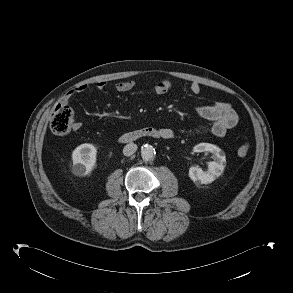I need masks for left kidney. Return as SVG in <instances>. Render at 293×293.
Masks as SVG:
<instances>
[{"instance_id":"5707ae66","label":"left kidney","mask_w":293,"mask_h":293,"mask_svg":"<svg viewBox=\"0 0 293 293\" xmlns=\"http://www.w3.org/2000/svg\"><path fill=\"white\" fill-rule=\"evenodd\" d=\"M194 152H210L213 161L208 162V169L203 171L198 167H191L189 169V177L193 182L201 184L212 183L219 177L225 168L226 157L224 152L216 145L210 143H200L193 148Z\"/></svg>"}]
</instances>
